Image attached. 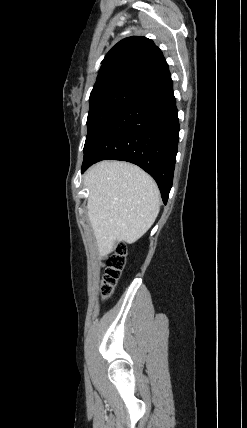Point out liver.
<instances>
[{"label":"liver","mask_w":247,"mask_h":428,"mask_svg":"<svg viewBox=\"0 0 247 428\" xmlns=\"http://www.w3.org/2000/svg\"><path fill=\"white\" fill-rule=\"evenodd\" d=\"M89 190L88 217L100 255L115 242L134 243L153 225L160 210L157 184L138 166L103 161L84 177Z\"/></svg>","instance_id":"6515ba94"}]
</instances>
